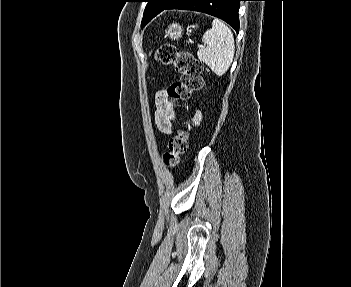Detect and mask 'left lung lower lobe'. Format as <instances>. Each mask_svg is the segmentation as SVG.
Returning a JSON list of instances; mask_svg holds the SVG:
<instances>
[{"label":"left lung lower lobe","mask_w":351,"mask_h":287,"mask_svg":"<svg viewBox=\"0 0 351 287\" xmlns=\"http://www.w3.org/2000/svg\"><path fill=\"white\" fill-rule=\"evenodd\" d=\"M241 1L243 0H174L164 10L180 9L203 12L224 20L238 33V10Z\"/></svg>","instance_id":"left-lung-lower-lobe-1"}]
</instances>
